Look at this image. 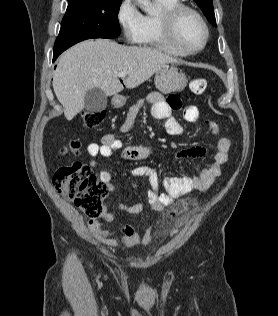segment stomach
I'll return each instance as SVG.
<instances>
[{
  "instance_id": "0dacf381",
  "label": "stomach",
  "mask_w": 278,
  "mask_h": 316,
  "mask_svg": "<svg viewBox=\"0 0 278 316\" xmlns=\"http://www.w3.org/2000/svg\"><path fill=\"white\" fill-rule=\"evenodd\" d=\"M186 84L187 78L185 74L174 65H165L155 74L156 88L164 94L182 91ZM112 102L115 107H122L126 102V98L115 96Z\"/></svg>"
}]
</instances>
